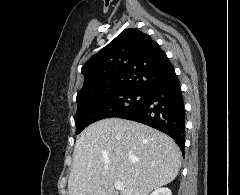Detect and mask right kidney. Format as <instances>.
I'll return each mask as SVG.
<instances>
[{"instance_id": "obj_1", "label": "right kidney", "mask_w": 240, "mask_h": 195, "mask_svg": "<svg viewBox=\"0 0 240 195\" xmlns=\"http://www.w3.org/2000/svg\"><path fill=\"white\" fill-rule=\"evenodd\" d=\"M150 195H172L171 189H168V187H158V189H155V191H152Z\"/></svg>"}]
</instances>
